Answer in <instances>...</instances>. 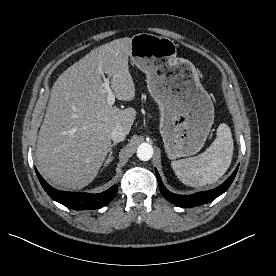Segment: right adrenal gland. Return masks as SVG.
Returning a JSON list of instances; mask_svg holds the SVG:
<instances>
[{"label":"right adrenal gland","instance_id":"right-adrenal-gland-1","mask_svg":"<svg viewBox=\"0 0 276 276\" xmlns=\"http://www.w3.org/2000/svg\"><path fill=\"white\" fill-rule=\"evenodd\" d=\"M117 145V143H113L111 146H110V149H109V156L108 158L105 160L104 162V166H107L108 164H110V162H112L113 160V147Z\"/></svg>","mask_w":276,"mask_h":276}]
</instances>
